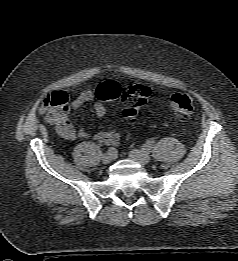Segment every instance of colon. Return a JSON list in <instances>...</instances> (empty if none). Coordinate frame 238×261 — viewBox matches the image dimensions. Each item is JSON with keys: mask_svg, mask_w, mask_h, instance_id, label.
Returning a JSON list of instances; mask_svg holds the SVG:
<instances>
[{"mask_svg": "<svg viewBox=\"0 0 238 261\" xmlns=\"http://www.w3.org/2000/svg\"><path fill=\"white\" fill-rule=\"evenodd\" d=\"M95 93L102 101L121 98L124 104L123 114L130 121L136 120L151 95L150 88L143 84H131L122 92L120 85L114 81L100 84ZM68 102V96L64 92L51 93L43 100L42 111L49 122L55 124L67 115ZM170 105L178 118L188 119L194 108L193 97L187 92L174 93L170 98Z\"/></svg>", "mask_w": 238, "mask_h": 261, "instance_id": "5ec220e1", "label": "colon"}]
</instances>
